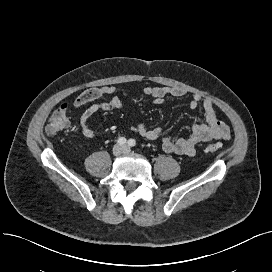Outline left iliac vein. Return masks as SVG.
Masks as SVG:
<instances>
[{"label":"left iliac vein","instance_id":"1","mask_svg":"<svg viewBox=\"0 0 272 272\" xmlns=\"http://www.w3.org/2000/svg\"><path fill=\"white\" fill-rule=\"evenodd\" d=\"M123 152L124 153H129L130 152V149L126 146L123 147Z\"/></svg>","mask_w":272,"mask_h":272}]
</instances>
